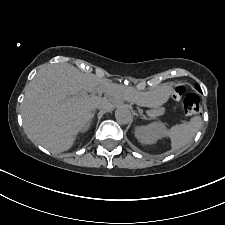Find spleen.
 Wrapping results in <instances>:
<instances>
[{"mask_svg": "<svg viewBox=\"0 0 225 225\" xmlns=\"http://www.w3.org/2000/svg\"><path fill=\"white\" fill-rule=\"evenodd\" d=\"M201 118L193 117L189 122L175 125L168 130H163L161 135L171 140L172 151L180 149L190 143L201 126Z\"/></svg>", "mask_w": 225, "mask_h": 225, "instance_id": "obj_1", "label": "spleen"}]
</instances>
